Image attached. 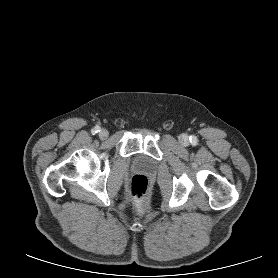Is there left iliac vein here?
<instances>
[{"label": "left iliac vein", "mask_w": 278, "mask_h": 278, "mask_svg": "<svg viewBox=\"0 0 278 278\" xmlns=\"http://www.w3.org/2000/svg\"><path fill=\"white\" fill-rule=\"evenodd\" d=\"M181 141H182L183 143H186V142H187L186 136H182V137H181Z\"/></svg>", "instance_id": "obj_1"}]
</instances>
